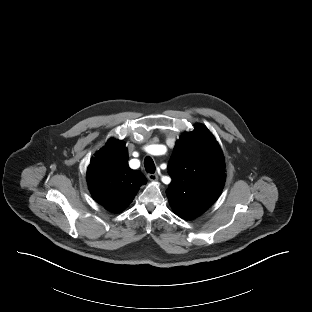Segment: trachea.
Wrapping results in <instances>:
<instances>
[{"instance_id":"trachea-1","label":"trachea","mask_w":312,"mask_h":312,"mask_svg":"<svg viewBox=\"0 0 312 312\" xmlns=\"http://www.w3.org/2000/svg\"><path fill=\"white\" fill-rule=\"evenodd\" d=\"M144 166H145V170L148 172V173H154L155 172V164H154V161L152 160L151 157H146L145 160H144Z\"/></svg>"}]
</instances>
